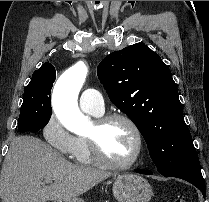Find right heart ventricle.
<instances>
[{"label":"right heart ventricle","mask_w":209,"mask_h":202,"mask_svg":"<svg viewBox=\"0 0 209 202\" xmlns=\"http://www.w3.org/2000/svg\"><path fill=\"white\" fill-rule=\"evenodd\" d=\"M69 157L74 162L84 165H90L94 162L85 137L76 138L74 148L69 154Z\"/></svg>","instance_id":"right-heart-ventricle-1"}]
</instances>
